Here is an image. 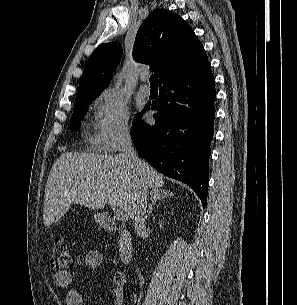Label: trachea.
<instances>
[{
  "instance_id": "trachea-1",
  "label": "trachea",
  "mask_w": 297,
  "mask_h": 305,
  "mask_svg": "<svg viewBox=\"0 0 297 305\" xmlns=\"http://www.w3.org/2000/svg\"><path fill=\"white\" fill-rule=\"evenodd\" d=\"M149 82L151 84V86H157L158 84V78L156 75H152L149 79Z\"/></svg>"
}]
</instances>
